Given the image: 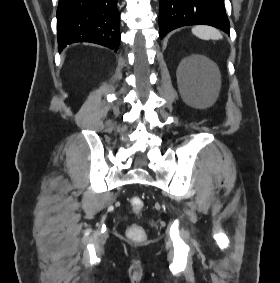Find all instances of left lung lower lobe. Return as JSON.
<instances>
[{"label":"left lung lower lobe","instance_id":"0a47b994","mask_svg":"<svg viewBox=\"0 0 280 283\" xmlns=\"http://www.w3.org/2000/svg\"><path fill=\"white\" fill-rule=\"evenodd\" d=\"M160 36L173 29L196 24L214 26L229 33L224 0H159Z\"/></svg>","mask_w":280,"mask_h":283}]
</instances>
